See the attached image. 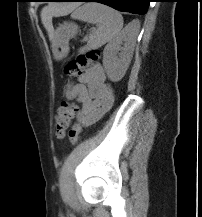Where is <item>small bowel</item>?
I'll use <instances>...</instances> for the list:
<instances>
[{
    "instance_id": "small-bowel-1",
    "label": "small bowel",
    "mask_w": 202,
    "mask_h": 217,
    "mask_svg": "<svg viewBox=\"0 0 202 217\" xmlns=\"http://www.w3.org/2000/svg\"><path fill=\"white\" fill-rule=\"evenodd\" d=\"M66 95L80 104L78 118L84 126L97 122L112 104V92L99 64L88 68L76 83L69 84Z\"/></svg>"
}]
</instances>
